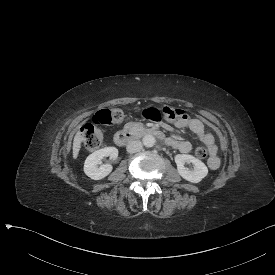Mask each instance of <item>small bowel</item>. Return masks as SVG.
Listing matches in <instances>:
<instances>
[{"instance_id": "c3829d8e", "label": "small bowel", "mask_w": 275, "mask_h": 275, "mask_svg": "<svg viewBox=\"0 0 275 275\" xmlns=\"http://www.w3.org/2000/svg\"><path fill=\"white\" fill-rule=\"evenodd\" d=\"M177 128L189 129L196 138L204 144L210 151V158L207 162L212 170H216L220 166V159L216 155L217 146L214 137L211 133L207 132L204 124L197 118H188L176 123ZM170 144L181 153H189L192 149V144L187 140H170Z\"/></svg>"}]
</instances>
